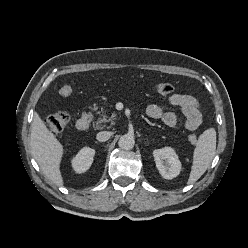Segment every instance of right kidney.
I'll return each mask as SVG.
<instances>
[{
    "label": "right kidney",
    "mask_w": 248,
    "mask_h": 248,
    "mask_svg": "<svg viewBox=\"0 0 248 248\" xmlns=\"http://www.w3.org/2000/svg\"><path fill=\"white\" fill-rule=\"evenodd\" d=\"M95 150L90 147L82 148L72 159V167L76 173L86 172L93 163Z\"/></svg>",
    "instance_id": "1"
}]
</instances>
